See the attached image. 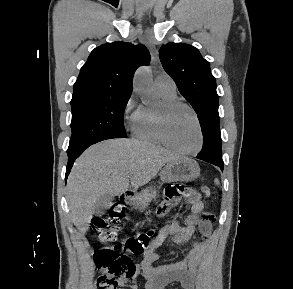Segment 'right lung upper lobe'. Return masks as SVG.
<instances>
[{"label":"right lung upper lobe","instance_id":"right-lung-upper-lobe-1","mask_svg":"<svg viewBox=\"0 0 293 289\" xmlns=\"http://www.w3.org/2000/svg\"><path fill=\"white\" fill-rule=\"evenodd\" d=\"M149 60L150 54L141 44L119 41L95 48L81 68L71 101L130 95L134 72Z\"/></svg>","mask_w":293,"mask_h":289}]
</instances>
